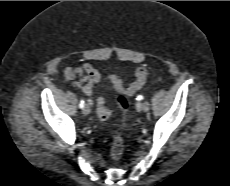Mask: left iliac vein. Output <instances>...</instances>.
Returning <instances> with one entry per match:
<instances>
[{"label":"left iliac vein","instance_id":"4c4485c4","mask_svg":"<svg viewBox=\"0 0 230 186\" xmlns=\"http://www.w3.org/2000/svg\"><path fill=\"white\" fill-rule=\"evenodd\" d=\"M138 108L144 112H148L150 109V104L147 101H144L142 103H138Z\"/></svg>","mask_w":230,"mask_h":186}]
</instances>
